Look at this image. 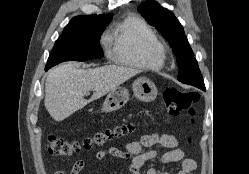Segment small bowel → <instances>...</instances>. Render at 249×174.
I'll list each match as a JSON object with an SVG mask.
<instances>
[{
  "label": "small bowel",
  "instance_id": "obj_1",
  "mask_svg": "<svg viewBox=\"0 0 249 174\" xmlns=\"http://www.w3.org/2000/svg\"><path fill=\"white\" fill-rule=\"evenodd\" d=\"M168 148L164 153H159L152 149L154 146ZM179 140L175 135L168 133H152L144 135L138 141H132L125 145L121 150L117 147H108L96 153L94 162L102 161L107 157H114L123 160H130L131 174H140L144 164L148 161H156L159 164H168L181 161V166L177 174H192L197 168V162L194 159H184L183 151L178 147ZM148 149V150H145ZM86 167V161L77 160L70 170L62 169L54 174H81ZM145 174H169L167 171L150 167Z\"/></svg>",
  "mask_w": 249,
  "mask_h": 174
}]
</instances>
